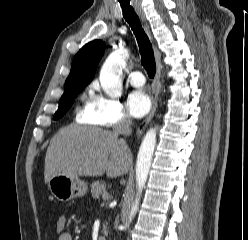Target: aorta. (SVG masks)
Listing matches in <instances>:
<instances>
[{
    "mask_svg": "<svg viewBox=\"0 0 248 240\" xmlns=\"http://www.w3.org/2000/svg\"><path fill=\"white\" fill-rule=\"evenodd\" d=\"M128 57L129 51L125 48H121L110 54L101 68L100 83L105 93L111 98H118L122 94L121 75L125 61ZM155 146L156 131L155 129H150L145 134L139 148L136 161V184L138 192L131 208L129 221L126 223L125 227L129 226V223L138 210L140 195L148 178Z\"/></svg>",
    "mask_w": 248,
    "mask_h": 240,
    "instance_id": "762f6f07",
    "label": "aorta"
}]
</instances>
